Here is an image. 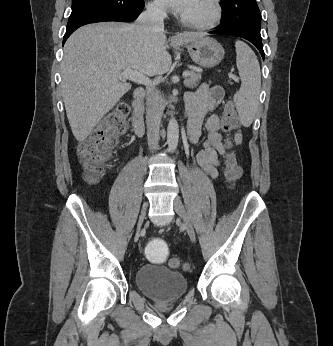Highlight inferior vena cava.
<instances>
[{
	"mask_svg": "<svg viewBox=\"0 0 333 346\" xmlns=\"http://www.w3.org/2000/svg\"><path fill=\"white\" fill-rule=\"evenodd\" d=\"M165 16L166 12L160 5H148L136 23L148 32H162L164 31ZM162 113L163 107L159 91L149 88L146 101V124L150 150L158 148Z\"/></svg>",
	"mask_w": 333,
	"mask_h": 346,
	"instance_id": "1",
	"label": "inferior vena cava"
}]
</instances>
